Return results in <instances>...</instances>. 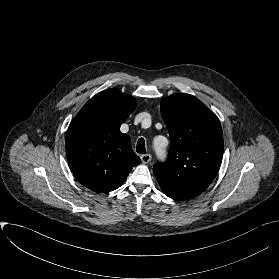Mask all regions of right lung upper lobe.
<instances>
[{
  "mask_svg": "<svg viewBox=\"0 0 279 279\" xmlns=\"http://www.w3.org/2000/svg\"><path fill=\"white\" fill-rule=\"evenodd\" d=\"M136 108L134 97L118 89L92 97L69 125L66 156L76 179L95 192H110L122 185L140 158L120 125Z\"/></svg>",
  "mask_w": 279,
  "mask_h": 279,
  "instance_id": "cb5924a9",
  "label": "right lung upper lobe"
}]
</instances>
